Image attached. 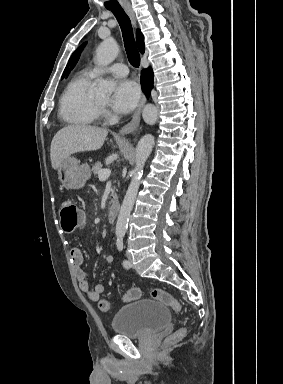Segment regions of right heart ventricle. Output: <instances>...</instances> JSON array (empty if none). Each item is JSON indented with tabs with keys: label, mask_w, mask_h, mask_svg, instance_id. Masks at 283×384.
I'll return each instance as SVG.
<instances>
[{
	"label": "right heart ventricle",
	"mask_w": 283,
	"mask_h": 384,
	"mask_svg": "<svg viewBox=\"0 0 283 384\" xmlns=\"http://www.w3.org/2000/svg\"><path fill=\"white\" fill-rule=\"evenodd\" d=\"M91 81L92 77L88 73L79 72L69 79L60 96L58 113L70 128H89L99 119L94 99L87 92Z\"/></svg>",
	"instance_id": "obj_1"
}]
</instances>
